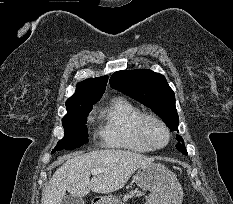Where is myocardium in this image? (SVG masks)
Instances as JSON below:
<instances>
[{"label": "myocardium", "instance_id": "f54148a6", "mask_svg": "<svg viewBox=\"0 0 233 204\" xmlns=\"http://www.w3.org/2000/svg\"><path fill=\"white\" fill-rule=\"evenodd\" d=\"M149 122H155L159 124L166 132L167 140L163 145H155L151 142L147 134V125ZM136 133L140 141L145 144L151 150H160L165 148L171 140V131L167 124L158 116L151 113L143 114L136 123Z\"/></svg>", "mask_w": 233, "mask_h": 204}]
</instances>
